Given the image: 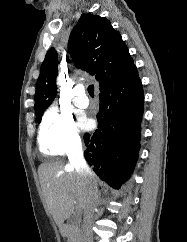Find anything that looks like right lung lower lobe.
<instances>
[{
  "instance_id": "right-lung-lower-lobe-1",
  "label": "right lung lower lobe",
  "mask_w": 187,
  "mask_h": 242,
  "mask_svg": "<svg viewBox=\"0 0 187 242\" xmlns=\"http://www.w3.org/2000/svg\"><path fill=\"white\" fill-rule=\"evenodd\" d=\"M143 103L138 73L100 90L98 129L92 136L84 135L85 159L115 189L130 177L138 158Z\"/></svg>"
}]
</instances>
